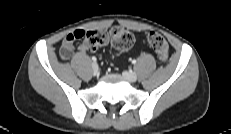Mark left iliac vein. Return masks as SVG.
<instances>
[{
	"instance_id": "left-iliac-vein-1",
	"label": "left iliac vein",
	"mask_w": 231,
	"mask_h": 134,
	"mask_svg": "<svg viewBox=\"0 0 231 134\" xmlns=\"http://www.w3.org/2000/svg\"><path fill=\"white\" fill-rule=\"evenodd\" d=\"M123 77L129 82H135L137 80V75L132 71H124Z\"/></svg>"
}]
</instances>
